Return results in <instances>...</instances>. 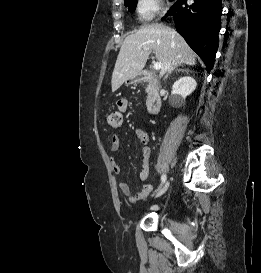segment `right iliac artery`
Masks as SVG:
<instances>
[{
  "mask_svg": "<svg viewBox=\"0 0 261 273\" xmlns=\"http://www.w3.org/2000/svg\"><path fill=\"white\" fill-rule=\"evenodd\" d=\"M165 181H166V175L163 174V175L161 176V186L165 183Z\"/></svg>",
  "mask_w": 261,
  "mask_h": 273,
  "instance_id": "1",
  "label": "right iliac artery"
}]
</instances>
